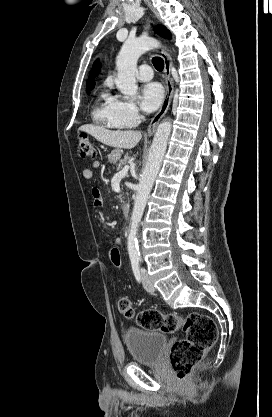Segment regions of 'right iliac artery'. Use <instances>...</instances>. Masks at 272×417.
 Returning <instances> with one entry per match:
<instances>
[{
    "label": "right iliac artery",
    "instance_id": "right-iliac-artery-1",
    "mask_svg": "<svg viewBox=\"0 0 272 417\" xmlns=\"http://www.w3.org/2000/svg\"><path fill=\"white\" fill-rule=\"evenodd\" d=\"M132 270L134 273V276L137 280L138 283L141 282V274H140V270H139V264L138 263H132Z\"/></svg>",
    "mask_w": 272,
    "mask_h": 417
}]
</instances>
